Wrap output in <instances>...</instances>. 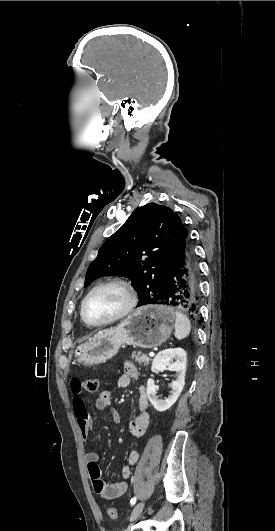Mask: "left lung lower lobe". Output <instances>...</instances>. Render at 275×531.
<instances>
[{"label":"left lung lower lobe","instance_id":"0a47b994","mask_svg":"<svg viewBox=\"0 0 275 531\" xmlns=\"http://www.w3.org/2000/svg\"><path fill=\"white\" fill-rule=\"evenodd\" d=\"M199 279L197 258L188 236L176 256L165 293L154 304L173 306L195 316L200 299Z\"/></svg>","mask_w":275,"mask_h":531}]
</instances>
